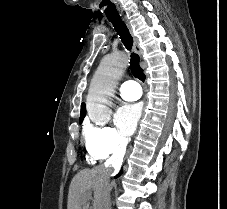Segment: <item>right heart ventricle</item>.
I'll return each instance as SVG.
<instances>
[{
  "label": "right heart ventricle",
  "instance_id": "e07e8e85",
  "mask_svg": "<svg viewBox=\"0 0 227 209\" xmlns=\"http://www.w3.org/2000/svg\"><path fill=\"white\" fill-rule=\"evenodd\" d=\"M86 159L88 161V163L90 164H94L97 160H100L97 158V156L91 152L88 151Z\"/></svg>",
  "mask_w": 227,
  "mask_h": 209
}]
</instances>
